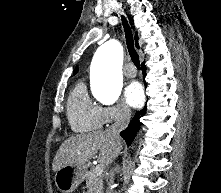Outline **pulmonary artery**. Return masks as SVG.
I'll return each mask as SVG.
<instances>
[{"label": "pulmonary artery", "instance_id": "obj_1", "mask_svg": "<svg viewBox=\"0 0 221 193\" xmlns=\"http://www.w3.org/2000/svg\"><path fill=\"white\" fill-rule=\"evenodd\" d=\"M123 73L127 78H133L137 75V72L132 64L126 65Z\"/></svg>", "mask_w": 221, "mask_h": 193}]
</instances>
